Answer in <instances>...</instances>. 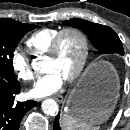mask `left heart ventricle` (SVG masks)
I'll list each match as a JSON object with an SVG mask.
<instances>
[{
  "label": "left heart ventricle",
  "instance_id": "left-heart-ventricle-1",
  "mask_svg": "<svg viewBox=\"0 0 130 130\" xmlns=\"http://www.w3.org/2000/svg\"><path fill=\"white\" fill-rule=\"evenodd\" d=\"M82 55V43L74 33H67L60 43L58 54L46 58L45 70H55L65 79L76 69Z\"/></svg>",
  "mask_w": 130,
  "mask_h": 130
}]
</instances>
